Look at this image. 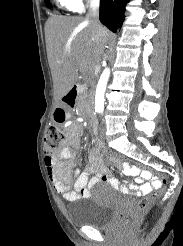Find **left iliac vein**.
I'll list each match as a JSON object with an SVG mask.
<instances>
[{
    "mask_svg": "<svg viewBox=\"0 0 183 246\" xmlns=\"http://www.w3.org/2000/svg\"><path fill=\"white\" fill-rule=\"evenodd\" d=\"M105 132H106V125H105V123L103 122L102 123V127H101V129H100V135H101V137H105Z\"/></svg>",
    "mask_w": 183,
    "mask_h": 246,
    "instance_id": "obj_1",
    "label": "left iliac vein"
}]
</instances>
